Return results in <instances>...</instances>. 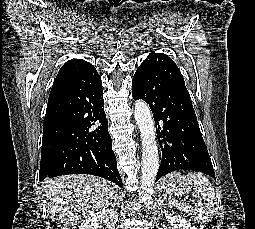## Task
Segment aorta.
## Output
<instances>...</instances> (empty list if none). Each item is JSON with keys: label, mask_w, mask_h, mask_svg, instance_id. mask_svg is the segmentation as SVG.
Instances as JSON below:
<instances>
[{"label": "aorta", "mask_w": 255, "mask_h": 229, "mask_svg": "<svg viewBox=\"0 0 255 229\" xmlns=\"http://www.w3.org/2000/svg\"><path fill=\"white\" fill-rule=\"evenodd\" d=\"M135 120L142 140V169L140 185V201L149 208L153 186L159 168L158 147L151 111L147 103L138 100L134 107Z\"/></svg>", "instance_id": "aorta-1"}]
</instances>
